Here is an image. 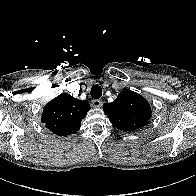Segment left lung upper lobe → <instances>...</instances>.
<instances>
[{
  "label": "left lung upper lobe",
  "instance_id": "left-lung-upper-lobe-1",
  "mask_svg": "<svg viewBox=\"0 0 196 196\" xmlns=\"http://www.w3.org/2000/svg\"><path fill=\"white\" fill-rule=\"evenodd\" d=\"M103 110L111 123L123 131L142 128L151 118L148 101L129 89L121 91L112 103H105Z\"/></svg>",
  "mask_w": 196,
  "mask_h": 196
}]
</instances>
